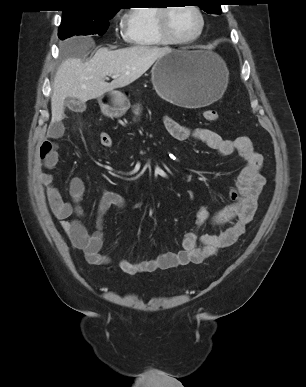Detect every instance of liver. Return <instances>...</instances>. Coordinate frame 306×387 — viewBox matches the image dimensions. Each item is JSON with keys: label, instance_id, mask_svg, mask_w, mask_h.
<instances>
[{"label": "liver", "instance_id": "obj_1", "mask_svg": "<svg viewBox=\"0 0 306 387\" xmlns=\"http://www.w3.org/2000/svg\"><path fill=\"white\" fill-rule=\"evenodd\" d=\"M170 48L134 46L118 50L99 48L83 61L68 58L59 66L52 86V122L61 121L64 100L68 97L86 102L107 92L125 87L140 78ZM115 76L108 83L106 76Z\"/></svg>", "mask_w": 306, "mask_h": 387}]
</instances>
